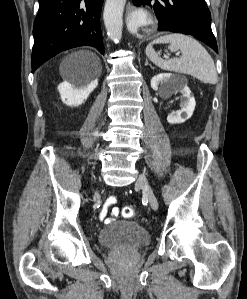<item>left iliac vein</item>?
<instances>
[{"mask_svg":"<svg viewBox=\"0 0 247 299\" xmlns=\"http://www.w3.org/2000/svg\"><path fill=\"white\" fill-rule=\"evenodd\" d=\"M136 186L141 188L146 196L149 199L150 206L152 209L157 210L158 209V201L157 198L148 182V179L144 174H140L136 180Z\"/></svg>","mask_w":247,"mask_h":299,"instance_id":"4c4485c4","label":"left iliac vein"}]
</instances>
